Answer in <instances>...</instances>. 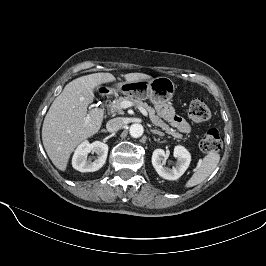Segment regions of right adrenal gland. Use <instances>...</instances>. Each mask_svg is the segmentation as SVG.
I'll list each match as a JSON object with an SVG mask.
<instances>
[{"instance_id":"obj_1","label":"right adrenal gland","mask_w":266,"mask_h":266,"mask_svg":"<svg viewBox=\"0 0 266 266\" xmlns=\"http://www.w3.org/2000/svg\"><path fill=\"white\" fill-rule=\"evenodd\" d=\"M102 132H107V131L103 129Z\"/></svg>"}]
</instances>
